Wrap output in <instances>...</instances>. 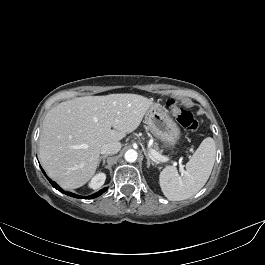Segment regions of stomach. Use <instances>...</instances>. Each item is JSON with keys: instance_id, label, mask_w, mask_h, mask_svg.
<instances>
[{"instance_id": "obj_1", "label": "stomach", "mask_w": 265, "mask_h": 265, "mask_svg": "<svg viewBox=\"0 0 265 265\" xmlns=\"http://www.w3.org/2000/svg\"><path fill=\"white\" fill-rule=\"evenodd\" d=\"M145 123L152 134L172 148L178 141L180 129L160 104H153L145 114Z\"/></svg>"}]
</instances>
